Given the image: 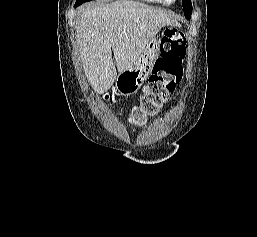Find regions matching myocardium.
I'll return each instance as SVG.
<instances>
[{
    "mask_svg": "<svg viewBox=\"0 0 257 237\" xmlns=\"http://www.w3.org/2000/svg\"><path fill=\"white\" fill-rule=\"evenodd\" d=\"M165 4H173L176 2V0H163Z\"/></svg>",
    "mask_w": 257,
    "mask_h": 237,
    "instance_id": "1",
    "label": "myocardium"
}]
</instances>
